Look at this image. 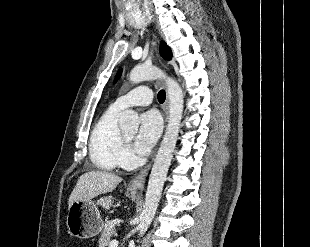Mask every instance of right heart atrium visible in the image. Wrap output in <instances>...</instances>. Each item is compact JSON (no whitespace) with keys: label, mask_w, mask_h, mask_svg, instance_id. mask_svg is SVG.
Returning a JSON list of instances; mask_svg holds the SVG:
<instances>
[{"label":"right heart atrium","mask_w":310,"mask_h":247,"mask_svg":"<svg viewBox=\"0 0 310 247\" xmlns=\"http://www.w3.org/2000/svg\"><path fill=\"white\" fill-rule=\"evenodd\" d=\"M133 158V154H132V151H131V148L129 145H125V148H124V152H123V158H122V165H127L130 163V161L132 160Z\"/></svg>","instance_id":"1"}]
</instances>
